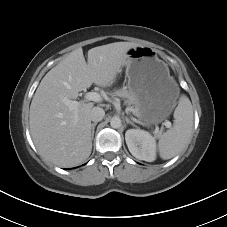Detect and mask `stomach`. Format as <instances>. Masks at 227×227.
Wrapping results in <instances>:
<instances>
[{
    "mask_svg": "<svg viewBox=\"0 0 227 227\" xmlns=\"http://www.w3.org/2000/svg\"><path fill=\"white\" fill-rule=\"evenodd\" d=\"M126 55V76L135 99L136 116L145 126L157 125L171 114L179 87L155 49L138 45Z\"/></svg>",
    "mask_w": 227,
    "mask_h": 227,
    "instance_id": "stomach-1",
    "label": "stomach"
}]
</instances>
